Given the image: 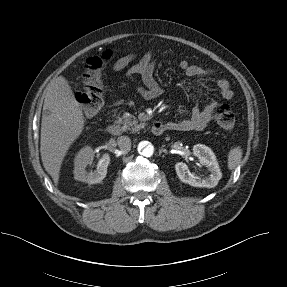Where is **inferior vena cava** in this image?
I'll list each match as a JSON object with an SVG mask.
<instances>
[{
	"label": "inferior vena cava",
	"instance_id": "inferior-vena-cava-1",
	"mask_svg": "<svg viewBox=\"0 0 287 287\" xmlns=\"http://www.w3.org/2000/svg\"><path fill=\"white\" fill-rule=\"evenodd\" d=\"M117 144L119 148L123 151L131 150V139L127 136H120L117 139Z\"/></svg>",
	"mask_w": 287,
	"mask_h": 287
}]
</instances>
